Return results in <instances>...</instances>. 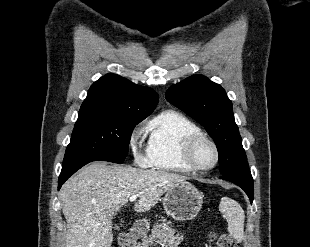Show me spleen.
<instances>
[{"mask_svg":"<svg viewBox=\"0 0 310 247\" xmlns=\"http://www.w3.org/2000/svg\"><path fill=\"white\" fill-rule=\"evenodd\" d=\"M219 210L226 216L230 236L241 242L244 238V210L235 200L228 197L221 199Z\"/></svg>","mask_w":310,"mask_h":247,"instance_id":"spleen-1","label":"spleen"}]
</instances>
